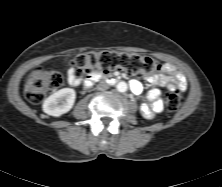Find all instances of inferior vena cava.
Returning a JSON list of instances; mask_svg holds the SVG:
<instances>
[{"mask_svg":"<svg viewBox=\"0 0 222 187\" xmlns=\"http://www.w3.org/2000/svg\"><path fill=\"white\" fill-rule=\"evenodd\" d=\"M109 88V84L105 81H101L99 84H98V89L99 90H106Z\"/></svg>","mask_w":222,"mask_h":187,"instance_id":"1","label":"inferior vena cava"}]
</instances>
